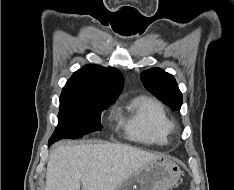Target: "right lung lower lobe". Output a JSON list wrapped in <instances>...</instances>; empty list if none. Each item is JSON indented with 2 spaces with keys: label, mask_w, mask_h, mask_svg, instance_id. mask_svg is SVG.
Here are the masks:
<instances>
[{
  "label": "right lung lower lobe",
  "mask_w": 234,
  "mask_h": 190,
  "mask_svg": "<svg viewBox=\"0 0 234 190\" xmlns=\"http://www.w3.org/2000/svg\"><path fill=\"white\" fill-rule=\"evenodd\" d=\"M52 143L51 142H48V145L50 146Z\"/></svg>",
  "instance_id": "1"
}]
</instances>
